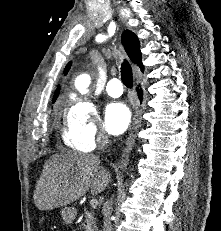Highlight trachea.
Segmentation results:
<instances>
[{
    "instance_id": "1",
    "label": "trachea",
    "mask_w": 221,
    "mask_h": 231,
    "mask_svg": "<svg viewBox=\"0 0 221 231\" xmlns=\"http://www.w3.org/2000/svg\"><path fill=\"white\" fill-rule=\"evenodd\" d=\"M121 80L127 88L133 86V74L132 69L128 61H124L121 65Z\"/></svg>"
}]
</instances>
